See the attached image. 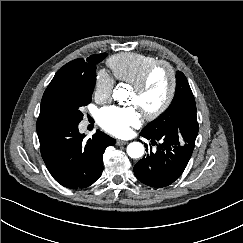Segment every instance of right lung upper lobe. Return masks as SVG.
I'll return each mask as SVG.
<instances>
[{"label": "right lung upper lobe", "instance_id": "obj_1", "mask_svg": "<svg viewBox=\"0 0 243 243\" xmlns=\"http://www.w3.org/2000/svg\"><path fill=\"white\" fill-rule=\"evenodd\" d=\"M98 55H92L90 58H87L86 61L82 58L73 60L64 65L54 77L65 75L86 76L95 68L94 61Z\"/></svg>", "mask_w": 243, "mask_h": 243}]
</instances>
